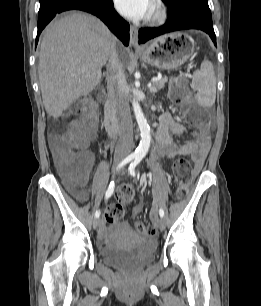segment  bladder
<instances>
[{"label":"bladder","instance_id":"1","mask_svg":"<svg viewBox=\"0 0 261 306\" xmlns=\"http://www.w3.org/2000/svg\"><path fill=\"white\" fill-rule=\"evenodd\" d=\"M124 231L121 229L120 234L100 248L101 261L106 265L127 271L141 269L153 262L157 249L156 243L143 239L134 245L125 246L121 243ZM127 231L133 233L131 229Z\"/></svg>","mask_w":261,"mask_h":306}]
</instances>
